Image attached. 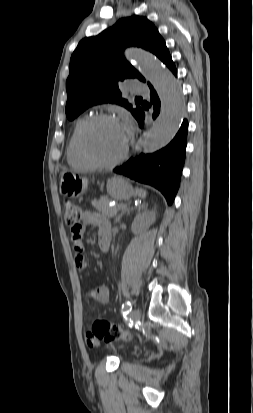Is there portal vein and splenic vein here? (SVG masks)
<instances>
[{
    "label": "portal vein and splenic vein",
    "instance_id": "obj_1",
    "mask_svg": "<svg viewBox=\"0 0 253 413\" xmlns=\"http://www.w3.org/2000/svg\"><path fill=\"white\" fill-rule=\"evenodd\" d=\"M124 207H125L124 205H121V206H120L121 209H123Z\"/></svg>",
    "mask_w": 253,
    "mask_h": 413
}]
</instances>
